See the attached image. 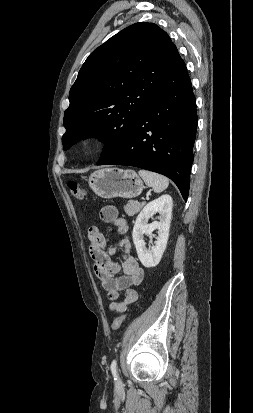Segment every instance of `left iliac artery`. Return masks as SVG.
<instances>
[{
    "label": "left iliac artery",
    "instance_id": "44dca946",
    "mask_svg": "<svg viewBox=\"0 0 253 413\" xmlns=\"http://www.w3.org/2000/svg\"><path fill=\"white\" fill-rule=\"evenodd\" d=\"M111 372L113 374L114 379H117V362L116 360H113L111 363Z\"/></svg>",
    "mask_w": 253,
    "mask_h": 413
}]
</instances>
